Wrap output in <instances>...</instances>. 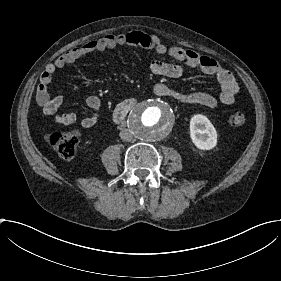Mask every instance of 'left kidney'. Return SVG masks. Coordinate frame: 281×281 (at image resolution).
I'll use <instances>...</instances> for the list:
<instances>
[{
    "label": "left kidney",
    "mask_w": 281,
    "mask_h": 281,
    "mask_svg": "<svg viewBox=\"0 0 281 281\" xmlns=\"http://www.w3.org/2000/svg\"><path fill=\"white\" fill-rule=\"evenodd\" d=\"M190 138L201 151H209L217 146V131L207 116L195 114L190 119Z\"/></svg>",
    "instance_id": "left-kidney-1"
}]
</instances>
